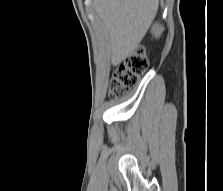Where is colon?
<instances>
[{
  "label": "colon",
  "mask_w": 223,
  "mask_h": 191,
  "mask_svg": "<svg viewBox=\"0 0 223 191\" xmlns=\"http://www.w3.org/2000/svg\"><path fill=\"white\" fill-rule=\"evenodd\" d=\"M148 67L149 60L145 51L142 48L134 50L114 71L109 96L113 99L123 97L137 85L139 76L144 74Z\"/></svg>",
  "instance_id": "1"
}]
</instances>
